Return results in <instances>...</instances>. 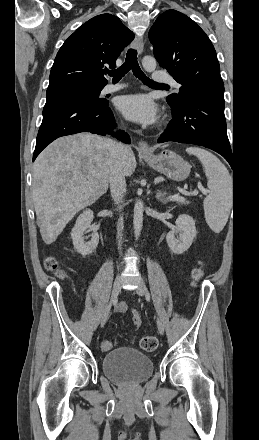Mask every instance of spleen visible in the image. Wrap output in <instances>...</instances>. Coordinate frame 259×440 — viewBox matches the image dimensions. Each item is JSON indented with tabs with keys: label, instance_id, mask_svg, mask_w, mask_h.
I'll return each mask as SVG.
<instances>
[{
	"label": "spleen",
	"instance_id": "spleen-1",
	"mask_svg": "<svg viewBox=\"0 0 259 440\" xmlns=\"http://www.w3.org/2000/svg\"><path fill=\"white\" fill-rule=\"evenodd\" d=\"M202 163L208 179L209 195L204 199L205 219L215 233H220L228 221L233 201L232 177L225 165L209 151L199 147L186 149Z\"/></svg>",
	"mask_w": 259,
	"mask_h": 440
}]
</instances>
